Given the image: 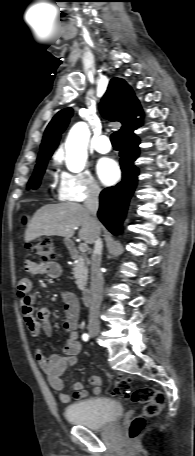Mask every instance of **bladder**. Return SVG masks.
Returning <instances> with one entry per match:
<instances>
[{"mask_svg": "<svg viewBox=\"0 0 195 456\" xmlns=\"http://www.w3.org/2000/svg\"><path fill=\"white\" fill-rule=\"evenodd\" d=\"M122 414L121 404L109 398L82 400L67 406L64 411L67 421L90 429H104L116 423Z\"/></svg>", "mask_w": 195, "mask_h": 456, "instance_id": "bladder-1", "label": "bladder"}]
</instances>
